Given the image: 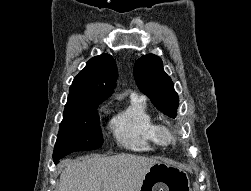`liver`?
Segmentation results:
<instances>
[{
	"instance_id": "1",
	"label": "liver",
	"mask_w": 251,
	"mask_h": 191,
	"mask_svg": "<svg viewBox=\"0 0 251 191\" xmlns=\"http://www.w3.org/2000/svg\"><path fill=\"white\" fill-rule=\"evenodd\" d=\"M154 163H158V157L133 153L86 155L81 161L61 159L58 191H139Z\"/></svg>"
}]
</instances>
